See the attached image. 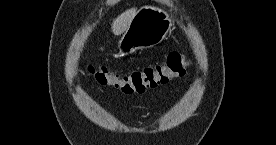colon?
I'll return each instance as SVG.
<instances>
[{
    "mask_svg": "<svg viewBox=\"0 0 276 145\" xmlns=\"http://www.w3.org/2000/svg\"><path fill=\"white\" fill-rule=\"evenodd\" d=\"M185 55L172 52L163 64L146 66L127 73H117L106 67L90 66V75L100 84L115 88L123 94H141L185 74Z\"/></svg>",
    "mask_w": 276,
    "mask_h": 145,
    "instance_id": "5ec220e1",
    "label": "colon"
}]
</instances>
